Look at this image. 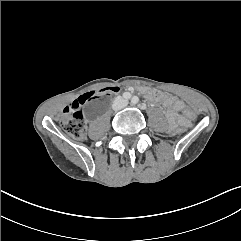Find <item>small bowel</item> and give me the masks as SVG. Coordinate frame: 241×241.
<instances>
[{
  "mask_svg": "<svg viewBox=\"0 0 241 241\" xmlns=\"http://www.w3.org/2000/svg\"><path fill=\"white\" fill-rule=\"evenodd\" d=\"M118 90L119 88L117 87V90L113 91V93L117 92ZM147 95L150 98H155L159 100L165 106L168 107L167 116L173 124H179V125L186 124L185 121L179 117V113L184 107V103L182 100L174 96L166 95L159 92H147Z\"/></svg>",
  "mask_w": 241,
  "mask_h": 241,
  "instance_id": "obj_1",
  "label": "small bowel"
}]
</instances>
